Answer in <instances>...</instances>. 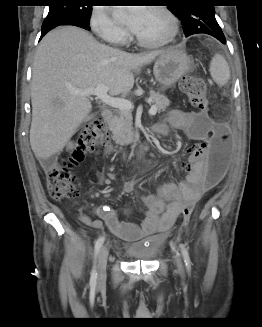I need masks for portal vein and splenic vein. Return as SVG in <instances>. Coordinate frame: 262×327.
<instances>
[{
	"label": "portal vein and splenic vein",
	"mask_w": 262,
	"mask_h": 327,
	"mask_svg": "<svg viewBox=\"0 0 262 327\" xmlns=\"http://www.w3.org/2000/svg\"><path fill=\"white\" fill-rule=\"evenodd\" d=\"M107 88L104 85H98L95 88H87L83 90H72V93L75 95H81V96H90L94 95L98 99H100L104 104L117 108L120 110H127L130 111L133 109V104L126 99H121V98H116L112 97L107 94ZM157 112V108L153 105L150 110L149 114L150 115H155Z\"/></svg>",
	"instance_id": "18ae733b"
}]
</instances>
